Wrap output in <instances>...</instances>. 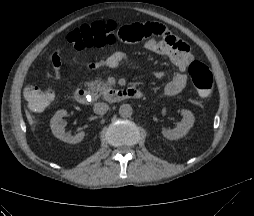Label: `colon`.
Returning a JSON list of instances; mask_svg holds the SVG:
<instances>
[{"label":"colon","mask_w":254,"mask_h":216,"mask_svg":"<svg viewBox=\"0 0 254 216\" xmlns=\"http://www.w3.org/2000/svg\"><path fill=\"white\" fill-rule=\"evenodd\" d=\"M115 22H94L83 25L70 33L67 44L74 50L85 48H104L117 42ZM188 74L191 82L202 97H207L213 89V75L211 69L204 63L194 61L190 63ZM29 107L35 112H42L53 101L54 95L50 90H44L36 85H30L24 92Z\"/></svg>","instance_id":"obj_1"}]
</instances>
